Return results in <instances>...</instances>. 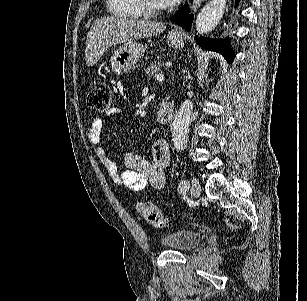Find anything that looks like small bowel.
Segmentation results:
<instances>
[{
    "instance_id": "1",
    "label": "small bowel",
    "mask_w": 307,
    "mask_h": 301,
    "mask_svg": "<svg viewBox=\"0 0 307 301\" xmlns=\"http://www.w3.org/2000/svg\"><path fill=\"white\" fill-rule=\"evenodd\" d=\"M120 115L121 109L117 107L109 109L105 114L107 118H115ZM103 127V118L96 117L92 120L88 132V139L92 144L100 142ZM95 152L112 181L119 187L140 191L147 186L156 190L165 186V170L170 163V151L165 141L155 143L152 150V161L137 153L125 154L124 162L128 169L123 172L118 170L117 165L109 158L103 147H97Z\"/></svg>"
}]
</instances>
